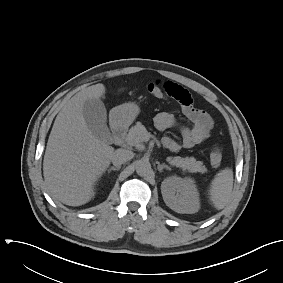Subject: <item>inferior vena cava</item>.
<instances>
[{"label":"inferior vena cava","mask_w":283,"mask_h":283,"mask_svg":"<svg viewBox=\"0 0 283 283\" xmlns=\"http://www.w3.org/2000/svg\"><path fill=\"white\" fill-rule=\"evenodd\" d=\"M134 156V153L130 150H126V149H117L112 157H111V161L113 163V165L115 166H120L122 164H124L125 162L131 160Z\"/></svg>","instance_id":"obj_1"}]
</instances>
